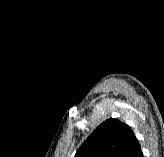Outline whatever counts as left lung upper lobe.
<instances>
[{
  "label": "left lung upper lobe",
  "mask_w": 164,
  "mask_h": 157,
  "mask_svg": "<svg viewBox=\"0 0 164 157\" xmlns=\"http://www.w3.org/2000/svg\"><path fill=\"white\" fill-rule=\"evenodd\" d=\"M135 139L127 124L110 118L91 133L74 157H126Z\"/></svg>",
  "instance_id": "1"
}]
</instances>
